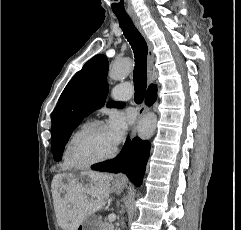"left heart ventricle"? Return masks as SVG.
I'll list each match as a JSON object with an SVG mask.
<instances>
[{"mask_svg": "<svg viewBox=\"0 0 241 230\" xmlns=\"http://www.w3.org/2000/svg\"><path fill=\"white\" fill-rule=\"evenodd\" d=\"M115 145L108 136L106 126L97 127L86 133L75 147V157L84 162L110 154Z\"/></svg>", "mask_w": 241, "mask_h": 230, "instance_id": "obj_1", "label": "left heart ventricle"}]
</instances>
